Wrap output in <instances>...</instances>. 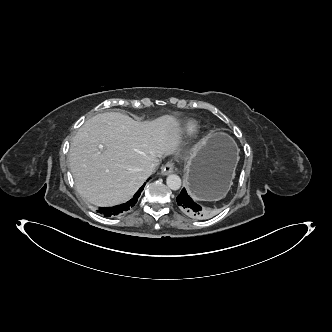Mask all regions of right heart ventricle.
I'll list each match as a JSON object with an SVG mask.
<instances>
[{
    "mask_svg": "<svg viewBox=\"0 0 332 332\" xmlns=\"http://www.w3.org/2000/svg\"><path fill=\"white\" fill-rule=\"evenodd\" d=\"M197 126H198V124L196 121L186 120L183 122V124L181 126V130L186 134H191L196 130Z\"/></svg>",
    "mask_w": 332,
    "mask_h": 332,
    "instance_id": "e07e8e85",
    "label": "right heart ventricle"
}]
</instances>
